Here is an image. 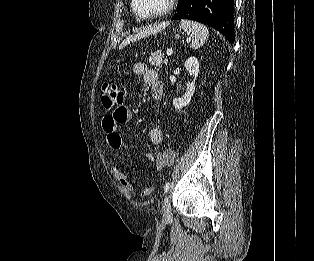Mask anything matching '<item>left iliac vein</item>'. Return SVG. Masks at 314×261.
Instances as JSON below:
<instances>
[{"instance_id":"obj_1","label":"left iliac vein","mask_w":314,"mask_h":261,"mask_svg":"<svg viewBox=\"0 0 314 261\" xmlns=\"http://www.w3.org/2000/svg\"><path fill=\"white\" fill-rule=\"evenodd\" d=\"M162 213L165 219H168L171 217V206H170L169 198L167 196H165L162 203Z\"/></svg>"}]
</instances>
